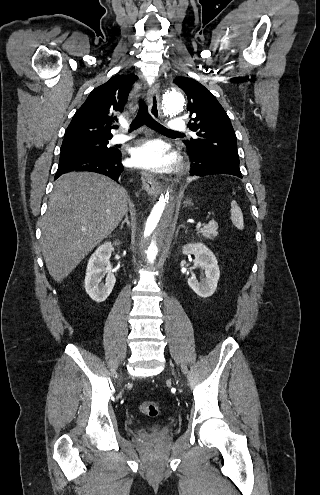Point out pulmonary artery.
<instances>
[{
  "label": "pulmonary artery",
  "instance_id": "1",
  "mask_svg": "<svg viewBox=\"0 0 320 495\" xmlns=\"http://www.w3.org/2000/svg\"><path fill=\"white\" fill-rule=\"evenodd\" d=\"M168 127L172 131L180 132L185 129L186 123L182 118H174L169 122ZM131 138L132 136L129 135L117 134L112 138V142L115 144H120L130 140Z\"/></svg>",
  "mask_w": 320,
  "mask_h": 495
}]
</instances>
